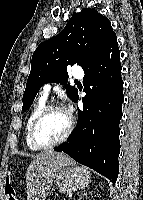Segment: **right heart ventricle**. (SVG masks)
<instances>
[{
	"mask_svg": "<svg viewBox=\"0 0 143 200\" xmlns=\"http://www.w3.org/2000/svg\"><path fill=\"white\" fill-rule=\"evenodd\" d=\"M46 97L44 96H40L38 98V100L35 102V104L33 105L26 124H25V141L27 146L31 149V150H39L38 148H36L35 146H33V144L31 143L30 140V128L31 125L33 123V121L35 120V118L38 116V114L44 109V107L46 106Z\"/></svg>",
	"mask_w": 143,
	"mask_h": 200,
	"instance_id": "e07e8e85",
	"label": "right heart ventricle"
}]
</instances>
